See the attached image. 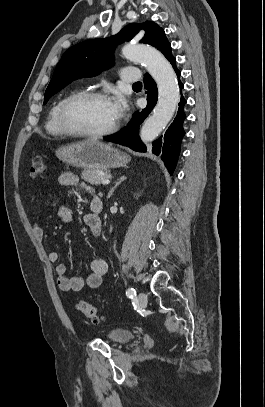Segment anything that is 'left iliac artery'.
<instances>
[{
  "label": "left iliac artery",
  "instance_id": "1",
  "mask_svg": "<svg viewBox=\"0 0 265 407\" xmlns=\"http://www.w3.org/2000/svg\"><path fill=\"white\" fill-rule=\"evenodd\" d=\"M126 295H127V297H129V298H133L134 296H136V291H135V289H134V288H129V289H127Z\"/></svg>",
  "mask_w": 265,
  "mask_h": 407
}]
</instances>
